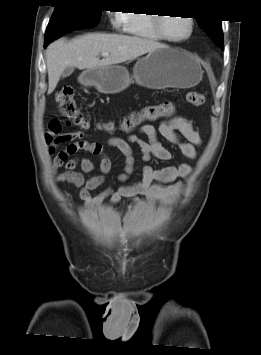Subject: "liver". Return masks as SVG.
Instances as JSON below:
<instances>
[{
  "instance_id": "1",
  "label": "liver",
  "mask_w": 261,
  "mask_h": 355,
  "mask_svg": "<svg viewBox=\"0 0 261 355\" xmlns=\"http://www.w3.org/2000/svg\"><path fill=\"white\" fill-rule=\"evenodd\" d=\"M163 45L157 41L122 34L89 33L71 41L64 38L49 45L46 51L48 94H51L68 66L79 70L122 63L154 51ZM108 52L107 57L99 55Z\"/></svg>"
}]
</instances>
